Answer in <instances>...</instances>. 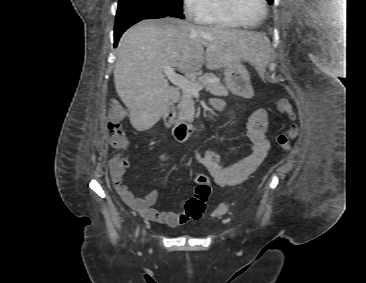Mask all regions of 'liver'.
<instances>
[{"label": "liver", "instance_id": "1", "mask_svg": "<svg viewBox=\"0 0 366 283\" xmlns=\"http://www.w3.org/2000/svg\"><path fill=\"white\" fill-rule=\"evenodd\" d=\"M264 41L254 31L201 27L172 17L133 25L120 39L114 69L115 88L129 110L132 126L145 131L164 114L170 96L165 66L196 74L204 64L216 70L243 60L258 69Z\"/></svg>", "mask_w": 366, "mask_h": 283}]
</instances>
